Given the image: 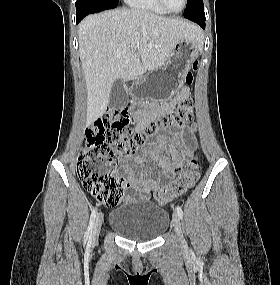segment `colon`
<instances>
[{
    "instance_id": "1",
    "label": "colon",
    "mask_w": 280,
    "mask_h": 285,
    "mask_svg": "<svg viewBox=\"0 0 280 285\" xmlns=\"http://www.w3.org/2000/svg\"><path fill=\"white\" fill-rule=\"evenodd\" d=\"M197 68V64L194 65ZM193 73L186 75V83H193ZM194 115V102L185 99L172 110L156 118L141 133L130 131L131 118L127 109H111L97 119L86 133V143L77 161V174L83 187L99 202L115 206L123 192V179L112 166L118 156L133 155L146 140L162 129L183 127ZM200 164L191 158L185 168L154 194L158 203H166L180 196L198 180Z\"/></svg>"
}]
</instances>
